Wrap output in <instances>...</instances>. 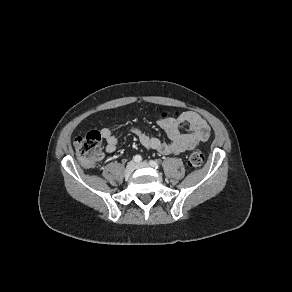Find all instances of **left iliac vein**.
<instances>
[{"instance_id": "1", "label": "left iliac vein", "mask_w": 292, "mask_h": 292, "mask_svg": "<svg viewBox=\"0 0 292 292\" xmlns=\"http://www.w3.org/2000/svg\"><path fill=\"white\" fill-rule=\"evenodd\" d=\"M150 165L147 163V162H141V163H138L136 164V168L137 169H140V168H147L149 167Z\"/></svg>"}]
</instances>
